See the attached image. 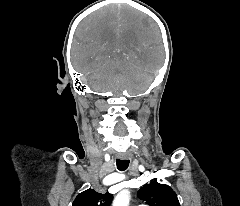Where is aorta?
Listing matches in <instances>:
<instances>
[{"mask_svg": "<svg viewBox=\"0 0 240 206\" xmlns=\"http://www.w3.org/2000/svg\"><path fill=\"white\" fill-rule=\"evenodd\" d=\"M130 193L128 190L121 191L114 199L113 206H129Z\"/></svg>", "mask_w": 240, "mask_h": 206, "instance_id": "762f6f07", "label": "aorta"}]
</instances>
